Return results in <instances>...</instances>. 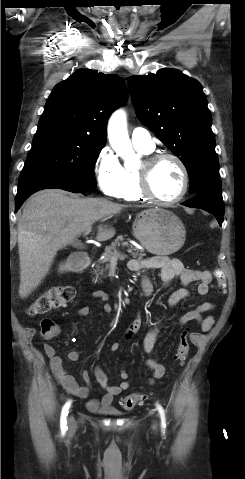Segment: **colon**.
Masks as SVG:
<instances>
[{"label":"colon","instance_id":"colon-1","mask_svg":"<svg viewBox=\"0 0 245 479\" xmlns=\"http://www.w3.org/2000/svg\"><path fill=\"white\" fill-rule=\"evenodd\" d=\"M218 276V284L222 290V274L216 271ZM75 297V290L72 286H54L44 291L37 299H35L27 308V313L31 316L43 315L53 310L60 309L69 304ZM41 334L45 338H52L59 332L58 324L50 319L45 318L40 323ZM189 330H184L179 338V343L175 358L180 363H183L190 350V343L188 339ZM148 399V395L144 393H133L121 400V406L125 410H131L136 405Z\"/></svg>","mask_w":245,"mask_h":479}]
</instances>
